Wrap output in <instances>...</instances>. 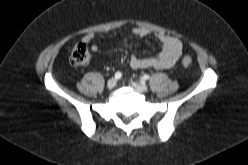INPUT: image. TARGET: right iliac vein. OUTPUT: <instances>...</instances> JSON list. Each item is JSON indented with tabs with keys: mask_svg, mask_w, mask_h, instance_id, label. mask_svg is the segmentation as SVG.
<instances>
[{
	"mask_svg": "<svg viewBox=\"0 0 248 165\" xmlns=\"http://www.w3.org/2000/svg\"><path fill=\"white\" fill-rule=\"evenodd\" d=\"M116 84H117L116 79L111 78V79H109L108 82H107V87H108L109 89H113V88L116 86Z\"/></svg>",
	"mask_w": 248,
	"mask_h": 165,
	"instance_id": "63e3f726",
	"label": "right iliac vein"
}]
</instances>
